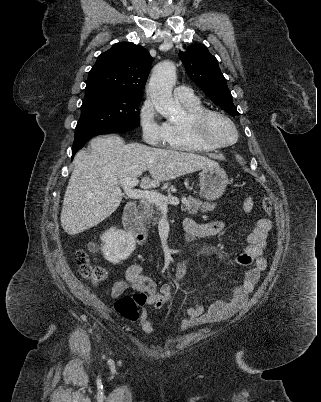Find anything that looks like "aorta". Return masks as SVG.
Instances as JSON below:
<instances>
[{
  "instance_id": "1",
  "label": "aorta",
  "mask_w": 321,
  "mask_h": 402,
  "mask_svg": "<svg viewBox=\"0 0 321 402\" xmlns=\"http://www.w3.org/2000/svg\"><path fill=\"white\" fill-rule=\"evenodd\" d=\"M176 80V66L172 61L158 63L152 72L147 93L156 110L164 117H173L182 111L172 97V87Z\"/></svg>"
}]
</instances>
